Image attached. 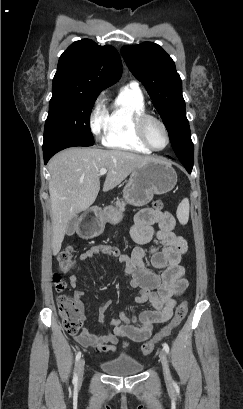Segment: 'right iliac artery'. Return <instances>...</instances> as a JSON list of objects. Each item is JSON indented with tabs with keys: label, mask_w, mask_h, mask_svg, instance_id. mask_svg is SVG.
<instances>
[{
	"label": "right iliac artery",
	"mask_w": 243,
	"mask_h": 409,
	"mask_svg": "<svg viewBox=\"0 0 243 409\" xmlns=\"http://www.w3.org/2000/svg\"><path fill=\"white\" fill-rule=\"evenodd\" d=\"M80 358H81V352H78L76 354V358H75L76 365H77L78 361L80 360ZM77 382H78V377H77V373H76V369H75V373H74V377H73V384H77Z\"/></svg>",
	"instance_id": "right-iliac-artery-1"
}]
</instances>
